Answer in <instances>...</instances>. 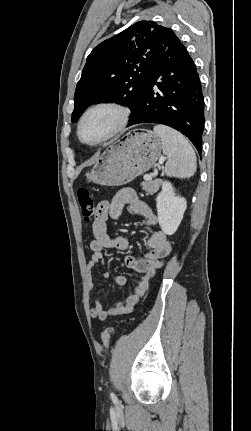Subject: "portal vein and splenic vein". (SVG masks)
Listing matches in <instances>:
<instances>
[{
    "instance_id": "1",
    "label": "portal vein and splenic vein",
    "mask_w": 251,
    "mask_h": 431,
    "mask_svg": "<svg viewBox=\"0 0 251 431\" xmlns=\"http://www.w3.org/2000/svg\"><path fill=\"white\" fill-rule=\"evenodd\" d=\"M166 158H163L162 160L164 161ZM144 180H146V181H150V180H152V176L151 175H149V174H146V175H144Z\"/></svg>"
}]
</instances>
